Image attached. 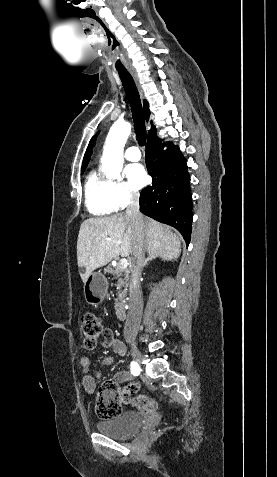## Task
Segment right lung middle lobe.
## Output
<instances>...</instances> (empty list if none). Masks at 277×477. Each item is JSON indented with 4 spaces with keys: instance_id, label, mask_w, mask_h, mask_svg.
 <instances>
[{
    "instance_id": "1",
    "label": "right lung middle lobe",
    "mask_w": 277,
    "mask_h": 477,
    "mask_svg": "<svg viewBox=\"0 0 277 477\" xmlns=\"http://www.w3.org/2000/svg\"><path fill=\"white\" fill-rule=\"evenodd\" d=\"M85 171V169H81V173H83Z\"/></svg>"
}]
</instances>
